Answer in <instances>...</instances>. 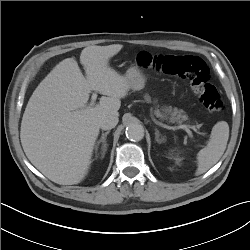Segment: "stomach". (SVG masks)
<instances>
[{
	"label": "stomach",
	"instance_id": "stomach-1",
	"mask_svg": "<svg viewBox=\"0 0 250 250\" xmlns=\"http://www.w3.org/2000/svg\"><path fill=\"white\" fill-rule=\"evenodd\" d=\"M125 77L128 79L129 88L133 90H141L145 86L146 77L137 67H130Z\"/></svg>",
	"mask_w": 250,
	"mask_h": 250
}]
</instances>
